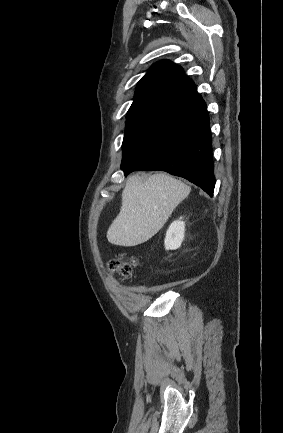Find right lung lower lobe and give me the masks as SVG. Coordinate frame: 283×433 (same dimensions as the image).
<instances>
[{"mask_svg":"<svg viewBox=\"0 0 283 433\" xmlns=\"http://www.w3.org/2000/svg\"><path fill=\"white\" fill-rule=\"evenodd\" d=\"M125 175L162 170L213 196L212 137L206 104L198 94L150 121L123 150Z\"/></svg>","mask_w":283,"mask_h":433,"instance_id":"98d812e1","label":"right lung lower lobe"}]
</instances>
